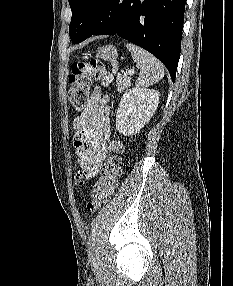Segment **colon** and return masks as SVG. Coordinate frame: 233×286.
I'll use <instances>...</instances> for the list:
<instances>
[{"instance_id": "obj_1", "label": "colon", "mask_w": 233, "mask_h": 286, "mask_svg": "<svg viewBox=\"0 0 233 286\" xmlns=\"http://www.w3.org/2000/svg\"><path fill=\"white\" fill-rule=\"evenodd\" d=\"M93 79L99 81L103 86H109L112 83V75L101 61L92 60L72 64L68 98L75 110H83L87 106L89 89ZM109 150L111 155L103 164L100 178L92 191L90 200L86 204V212L88 213L96 212L106 204L118 186L121 175L120 155L123 150L122 143L116 139L112 140L109 143Z\"/></svg>"}]
</instances>
